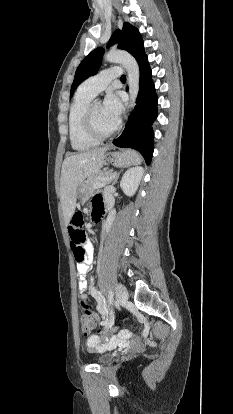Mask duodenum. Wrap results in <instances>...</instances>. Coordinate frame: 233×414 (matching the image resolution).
Returning <instances> with one entry per match:
<instances>
[{"instance_id":"410a0bca","label":"duodenum","mask_w":233,"mask_h":414,"mask_svg":"<svg viewBox=\"0 0 233 414\" xmlns=\"http://www.w3.org/2000/svg\"><path fill=\"white\" fill-rule=\"evenodd\" d=\"M101 216V210L100 209H95L92 213V218L94 220L99 219V217Z\"/></svg>"}]
</instances>
